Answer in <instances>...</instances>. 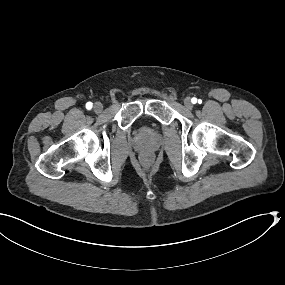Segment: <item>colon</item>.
<instances>
[{"instance_id":"colon-1","label":"colon","mask_w":285,"mask_h":285,"mask_svg":"<svg viewBox=\"0 0 285 285\" xmlns=\"http://www.w3.org/2000/svg\"><path fill=\"white\" fill-rule=\"evenodd\" d=\"M144 162H145V163H149V162H150V158H149L148 156H146V157L144 158Z\"/></svg>"}]
</instances>
